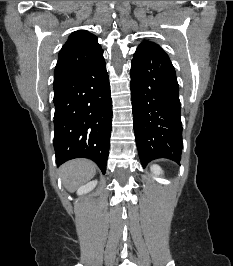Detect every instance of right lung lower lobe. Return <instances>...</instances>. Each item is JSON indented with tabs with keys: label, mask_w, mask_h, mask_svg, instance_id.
<instances>
[{
	"label": "right lung lower lobe",
	"mask_w": 233,
	"mask_h": 266,
	"mask_svg": "<svg viewBox=\"0 0 233 266\" xmlns=\"http://www.w3.org/2000/svg\"><path fill=\"white\" fill-rule=\"evenodd\" d=\"M56 163L92 159L105 174L112 129V100L103 55L54 85Z\"/></svg>",
	"instance_id": "1"
}]
</instances>
